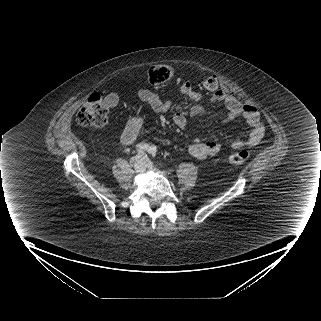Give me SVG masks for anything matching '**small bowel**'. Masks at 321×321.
Masks as SVG:
<instances>
[{
	"label": "small bowel",
	"instance_id": "obj_1",
	"mask_svg": "<svg viewBox=\"0 0 321 321\" xmlns=\"http://www.w3.org/2000/svg\"><path fill=\"white\" fill-rule=\"evenodd\" d=\"M178 94L187 97L195 102L190 109V116L197 117L204 111L203 104L223 103L228 120H234L243 117L248 125V134L243 138H237L230 142V148L239 149L243 147L257 146L265 132V124L258 109L251 104H244L236 98L226 94L222 90L214 91L210 96H205L200 90L196 89L190 82L185 81L181 84ZM140 98L147 104L148 110L151 113H163L170 109L171 100H162L160 97L151 92L142 90L139 92ZM105 101L110 108H117L119 104V96L117 93H108ZM173 122L178 128H184L187 124V118L182 113L173 115ZM143 125V116H133L127 123L120 142L124 146L131 145L138 138ZM221 149L220 143L216 141H207L194 143L187 147V153L199 160H206L216 155Z\"/></svg>",
	"mask_w": 321,
	"mask_h": 321
}]
</instances>
